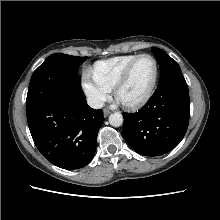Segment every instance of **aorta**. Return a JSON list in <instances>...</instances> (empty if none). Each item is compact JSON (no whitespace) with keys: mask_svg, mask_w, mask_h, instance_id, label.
<instances>
[{"mask_svg":"<svg viewBox=\"0 0 220 220\" xmlns=\"http://www.w3.org/2000/svg\"><path fill=\"white\" fill-rule=\"evenodd\" d=\"M109 123L113 127H119L123 124V116L120 113H113L109 116Z\"/></svg>","mask_w":220,"mask_h":220,"instance_id":"aorta-1","label":"aorta"}]
</instances>
